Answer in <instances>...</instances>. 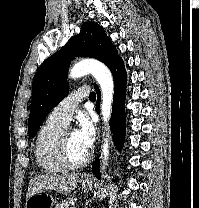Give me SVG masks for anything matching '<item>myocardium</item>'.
<instances>
[{"label":"myocardium","mask_w":199,"mask_h":208,"mask_svg":"<svg viewBox=\"0 0 199 208\" xmlns=\"http://www.w3.org/2000/svg\"><path fill=\"white\" fill-rule=\"evenodd\" d=\"M68 131L69 130H63L58 138L56 157L65 169H78L85 166L90 161L92 154L89 151L84 159L80 161H72L68 154Z\"/></svg>","instance_id":"1"}]
</instances>
